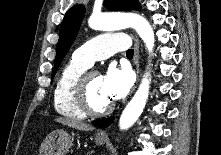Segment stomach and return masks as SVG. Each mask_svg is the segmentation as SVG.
<instances>
[{"instance_id": "1", "label": "stomach", "mask_w": 221, "mask_h": 155, "mask_svg": "<svg viewBox=\"0 0 221 155\" xmlns=\"http://www.w3.org/2000/svg\"><path fill=\"white\" fill-rule=\"evenodd\" d=\"M97 145H103L107 138L95 137ZM73 145V136L63 129L51 132L43 141L40 147L39 155H65Z\"/></svg>"}]
</instances>
